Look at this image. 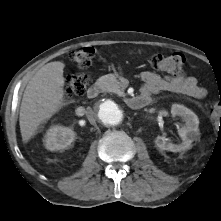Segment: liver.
<instances>
[{
	"mask_svg": "<svg viewBox=\"0 0 221 221\" xmlns=\"http://www.w3.org/2000/svg\"><path fill=\"white\" fill-rule=\"evenodd\" d=\"M64 67L61 61L49 62L35 73L26 86L19 114L24 143L35 135L41 123L67 104L64 99Z\"/></svg>",
	"mask_w": 221,
	"mask_h": 221,
	"instance_id": "liver-1",
	"label": "liver"
}]
</instances>
